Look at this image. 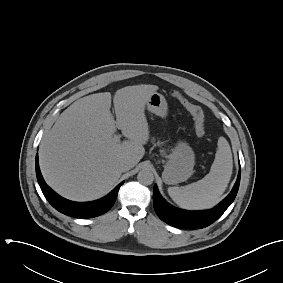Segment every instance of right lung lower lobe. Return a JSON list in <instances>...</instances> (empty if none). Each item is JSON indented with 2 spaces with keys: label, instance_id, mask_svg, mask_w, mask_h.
<instances>
[{
  "label": "right lung lower lobe",
  "instance_id": "98d812e1",
  "mask_svg": "<svg viewBox=\"0 0 283 283\" xmlns=\"http://www.w3.org/2000/svg\"><path fill=\"white\" fill-rule=\"evenodd\" d=\"M36 175L40 188L48 202L59 212L77 218H92L107 212L113 206L119 188L124 183H120L111 193L97 201L73 202L59 196L45 183L39 169L38 155H36Z\"/></svg>",
  "mask_w": 283,
  "mask_h": 283
}]
</instances>
